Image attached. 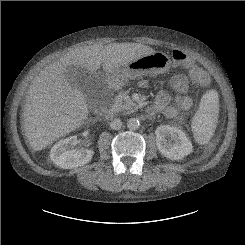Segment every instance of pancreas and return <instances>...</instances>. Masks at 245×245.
Listing matches in <instances>:
<instances>
[{
  "instance_id": "cf45deb5",
  "label": "pancreas",
  "mask_w": 245,
  "mask_h": 245,
  "mask_svg": "<svg viewBox=\"0 0 245 245\" xmlns=\"http://www.w3.org/2000/svg\"><path fill=\"white\" fill-rule=\"evenodd\" d=\"M115 107L117 111L126 113H132L138 109V105L132 101L127 92H122L115 98Z\"/></svg>"
}]
</instances>
